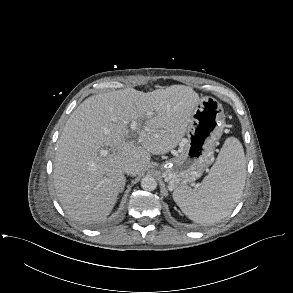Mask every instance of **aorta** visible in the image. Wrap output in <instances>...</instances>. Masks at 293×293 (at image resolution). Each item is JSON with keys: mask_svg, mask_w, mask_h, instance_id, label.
I'll list each match as a JSON object with an SVG mask.
<instances>
[{"mask_svg": "<svg viewBox=\"0 0 293 293\" xmlns=\"http://www.w3.org/2000/svg\"><path fill=\"white\" fill-rule=\"evenodd\" d=\"M141 187L145 191H153L157 187V182L153 176L146 175L141 179Z\"/></svg>", "mask_w": 293, "mask_h": 293, "instance_id": "762f6f07", "label": "aorta"}]
</instances>
